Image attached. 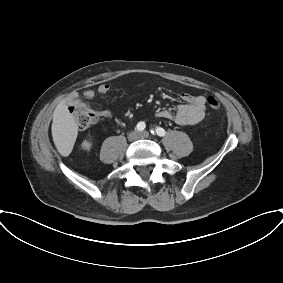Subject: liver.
Returning a JSON list of instances; mask_svg holds the SVG:
<instances>
[{"label": "liver", "instance_id": "liver-1", "mask_svg": "<svg viewBox=\"0 0 283 283\" xmlns=\"http://www.w3.org/2000/svg\"><path fill=\"white\" fill-rule=\"evenodd\" d=\"M51 130L57 150L62 156H68L76 141L78 126L64 101H61L53 112Z\"/></svg>", "mask_w": 283, "mask_h": 283}]
</instances>
